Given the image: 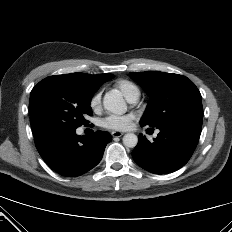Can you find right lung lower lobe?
I'll return each instance as SVG.
<instances>
[{
  "label": "right lung lower lobe",
  "instance_id": "1",
  "mask_svg": "<svg viewBox=\"0 0 232 232\" xmlns=\"http://www.w3.org/2000/svg\"><path fill=\"white\" fill-rule=\"evenodd\" d=\"M76 129L52 128L35 133L36 148L44 161L56 172L67 177L84 174L101 160L111 135L97 131L78 136Z\"/></svg>",
  "mask_w": 232,
  "mask_h": 232
}]
</instances>
